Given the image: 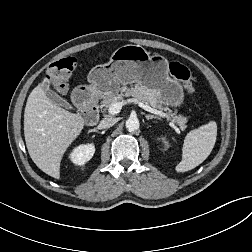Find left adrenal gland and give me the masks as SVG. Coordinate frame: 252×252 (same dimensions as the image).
<instances>
[{"mask_svg": "<svg viewBox=\"0 0 252 252\" xmlns=\"http://www.w3.org/2000/svg\"><path fill=\"white\" fill-rule=\"evenodd\" d=\"M145 118H146L147 120H150V119H159V117H157V116L148 115V114L145 115Z\"/></svg>", "mask_w": 252, "mask_h": 252, "instance_id": "left-adrenal-gland-1", "label": "left adrenal gland"}]
</instances>
